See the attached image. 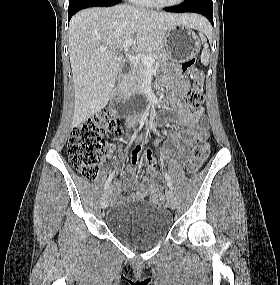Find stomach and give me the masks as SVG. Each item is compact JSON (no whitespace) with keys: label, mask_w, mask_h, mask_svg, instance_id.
I'll return each instance as SVG.
<instances>
[{"label":"stomach","mask_w":280,"mask_h":285,"mask_svg":"<svg viewBox=\"0 0 280 285\" xmlns=\"http://www.w3.org/2000/svg\"><path fill=\"white\" fill-rule=\"evenodd\" d=\"M163 45L169 58L185 61L198 54L201 42L189 26L175 24L168 29Z\"/></svg>","instance_id":"1"}]
</instances>
